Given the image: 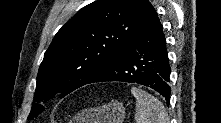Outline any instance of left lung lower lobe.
<instances>
[{
	"label": "left lung lower lobe",
	"mask_w": 221,
	"mask_h": 123,
	"mask_svg": "<svg viewBox=\"0 0 221 123\" xmlns=\"http://www.w3.org/2000/svg\"><path fill=\"white\" fill-rule=\"evenodd\" d=\"M170 72L166 39L156 16L119 56L87 84L104 81L138 83L154 89L169 103Z\"/></svg>",
	"instance_id": "left-lung-lower-lobe-1"
}]
</instances>
